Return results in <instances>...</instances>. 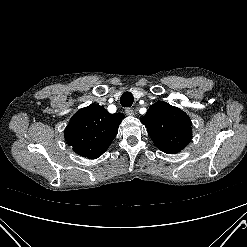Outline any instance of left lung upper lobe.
<instances>
[{
	"label": "left lung upper lobe",
	"instance_id": "5c2ea615",
	"mask_svg": "<svg viewBox=\"0 0 247 247\" xmlns=\"http://www.w3.org/2000/svg\"><path fill=\"white\" fill-rule=\"evenodd\" d=\"M153 143L167 154L185 148L192 138V122L181 109L166 102L151 105L141 118Z\"/></svg>",
	"mask_w": 247,
	"mask_h": 247
}]
</instances>
